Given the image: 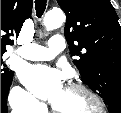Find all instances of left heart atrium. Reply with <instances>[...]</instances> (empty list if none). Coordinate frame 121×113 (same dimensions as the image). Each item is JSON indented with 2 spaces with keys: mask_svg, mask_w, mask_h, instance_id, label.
I'll list each match as a JSON object with an SVG mask.
<instances>
[{
  "mask_svg": "<svg viewBox=\"0 0 121 113\" xmlns=\"http://www.w3.org/2000/svg\"><path fill=\"white\" fill-rule=\"evenodd\" d=\"M23 83L38 97L54 103L62 90V76L46 66H29L21 73Z\"/></svg>",
  "mask_w": 121,
  "mask_h": 113,
  "instance_id": "1",
  "label": "left heart atrium"
}]
</instances>
